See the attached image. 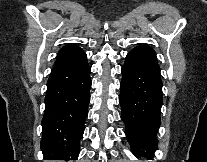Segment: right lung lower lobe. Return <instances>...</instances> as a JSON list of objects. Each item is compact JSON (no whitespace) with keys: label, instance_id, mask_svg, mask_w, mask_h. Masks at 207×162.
<instances>
[{"label":"right lung lower lobe","instance_id":"right-lung-lower-lobe-1","mask_svg":"<svg viewBox=\"0 0 207 162\" xmlns=\"http://www.w3.org/2000/svg\"><path fill=\"white\" fill-rule=\"evenodd\" d=\"M90 87L85 53L52 69L42 119L41 148L46 160H77L88 115Z\"/></svg>","mask_w":207,"mask_h":162}]
</instances>
